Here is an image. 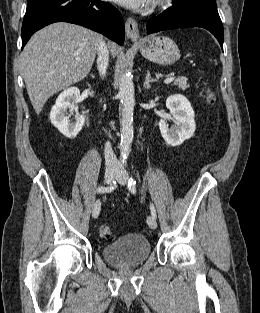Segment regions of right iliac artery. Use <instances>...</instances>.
Listing matches in <instances>:
<instances>
[{
	"mask_svg": "<svg viewBox=\"0 0 260 313\" xmlns=\"http://www.w3.org/2000/svg\"><path fill=\"white\" fill-rule=\"evenodd\" d=\"M115 185H116V182L113 181V184H111V186L109 187H99L97 189V193L111 192L114 189Z\"/></svg>",
	"mask_w": 260,
	"mask_h": 313,
	"instance_id": "obj_1",
	"label": "right iliac artery"
}]
</instances>
